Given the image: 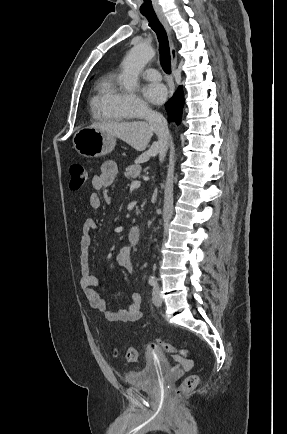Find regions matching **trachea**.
<instances>
[{
  "mask_svg": "<svg viewBox=\"0 0 287 434\" xmlns=\"http://www.w3.org/2000/svg\"><path fill=\"white\" fill-rule=\"evenodd\" d=\"M149 22V26L155 31L157 34V38L159 41V53H160V63L166 74L171 73V55L169 48V41L167 37V33L157 18L156 14H144Z\"/></svg>",
  "mask_w": 287,
  "mask_h": 434,
  "instance_id": "obj_1",
  "label": "trachea"
}]
</instances>
